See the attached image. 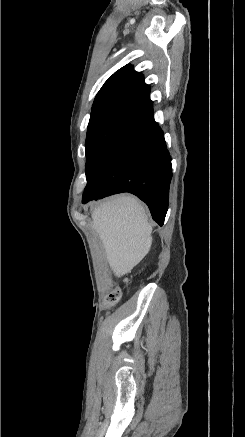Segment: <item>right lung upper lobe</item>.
<instances>
[{
  "label": "right lung upper lobe",
  "mask_w": 245,
  "mask_h": 437,
  "mask_svg": "<svg viewBox=\"0 0 245 437\" xmlns=\"http://www.w3.org/2000/svg\"><path fill=\"white\" fill-rule=\"evenodd\" d=\"M111 104L130 106L144 113L153 110L150 86L132 65L122 67L108 78L96 95L92 109Z\"/></svg>",
  "instance_id": "right-lung-upper-lobe-1"
}]
</instances>
